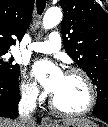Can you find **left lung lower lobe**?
I'll return each mask as SVG.
<instances>
[{
	"label": "left lung lower lobe",
	"instance_id": "obj_1",
	"mask_svg": "<svg viewBox=\"0 0 108 127\" xmlns=\"http://www.w3.org/2000/svg\"><path fill=\"white\" fill-rule=\"evenodd\" d=\"M93 115L108 123V104L96 103Z\"/></svg>",
	"mask_w": 108,
	"mask_h": 127
}]
</instances>
